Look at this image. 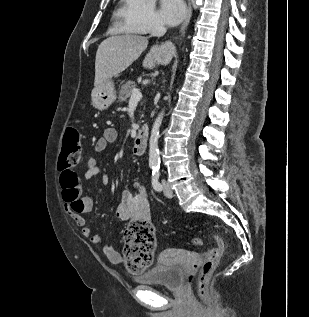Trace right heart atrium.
Listing matches in <instances>:
<instances>
[{"mask_svg":"<svg viewBox=\"0 0 309 317\" xmlns=\"http://www.w3.org/2000/svg\"><path fill=\"white\" fill-rule=\"evenodd\" d=\"M124 28L137 34H148L163 28L154 0H124L120 11Z\"/></svg>","mask_w":309,"mask_h":317,"instance_id":"right-heart-atrium-1","label":"right heart atrium"}]
</instances>
